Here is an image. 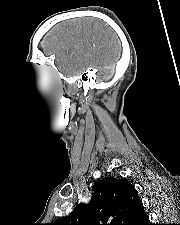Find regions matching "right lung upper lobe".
Here are the masks:
<instances>
[{
	"mask_svg": "<svg viewBox=\"0 0 180 225\" xmlns=\"http://www.w3.org/2000/svg\"><path fill=\"white\" fill-rule=\"evenodd\" d=\"M88 205H77L52 225H143L148 219L136 189L125 179L97 181Z\"/></svg>",
	"mask_w": 180,
	"mask_h": 225,
	"instance_id": "cb5924a9",
	"label": "right lung upper lobe"
}]
</instances>
